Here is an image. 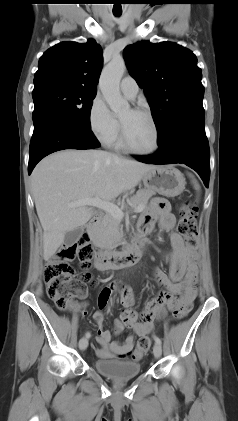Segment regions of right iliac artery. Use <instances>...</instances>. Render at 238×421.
I'll return each mask as SVG.
<instances>
[{
	"instance_id": "right-iliac-artery-1",
	"label": "right iliac artery",
	"mask_w": 238,
	"mask_h": 421,
	"mask_svg": "<svg viewBox=\"0 0 238 421\" xmlns=\"http://www.w3.org/2000/svg\"><path fill=\"white\" fill-rule=\"evenodd\" d=\"M85 336H86V338H90L91 334H90L89 332H87V333L85 334Z\"/></svg>"
}]
</instances>
